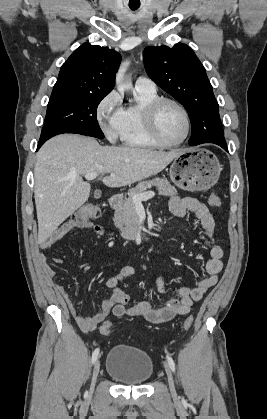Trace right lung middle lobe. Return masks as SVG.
<instances>
[{
	"instance_id": "right-lung-middle-lobe-1",
	"label": "right lung middle lobe",
	"mask_w": 267,
	"mask_h": 419,
	"mask_svg": "<svg viewBox=\"0 0 267 419\" xmlns=\"http://www.w3.org/2000/svg\"><path fill=\"white\" fill-rule=\"evenodd\" d=\"M107 94H52L47 106L43 128L63 133H76L104 138L97 122L96 111Z\"/></svg>"
}]
</instances>
